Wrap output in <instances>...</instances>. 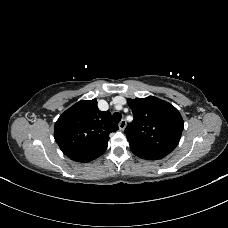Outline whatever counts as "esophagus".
Returning <instances> with one entry per match:
<instances>
[{
  "instance_id": "34e87169",
  "label": "esophagus",
  "mask_w": 228,
  "mask_h": 228,
  "mask_svg": "<svg viewBox=\"0 0 228 228\" xmlns=\"http://www.w3.org/2000/svg\"><path fill=\"white\" fill-rule=\"evenodd\" d=\"M126 120L125 119H122L121 121H120V123L118 124V126H119V129L121 130V131H123L124 129H125V127H126Z\"/></svg>"
}]
</instances>
